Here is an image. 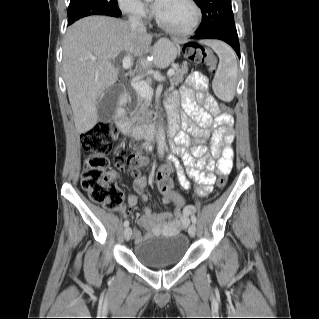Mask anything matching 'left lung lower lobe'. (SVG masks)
<instances>
[{
    "label": "left lung lower lobe",
    "instance_id": "0a47b994",
    "mask_svg": "<svg viewBox=\"0 0 319 319\" xmlns=\"http://www.w3.org/2000/svg\"><path fill=\"white\" fill-rule=\"evenodd\" d=\"M191 39H219L228 43L237 53L240 58V46L238 41V35L223 33V32H214L209 34H196L191 37Z\"/></svg>",
    "mask_w": 319,
    "mask_h": 319
}]
</instances>
